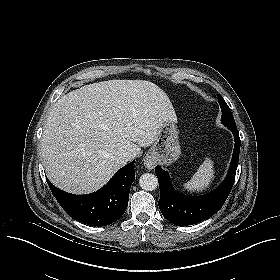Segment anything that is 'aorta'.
I'll return each instance as SVG.
<instances>
[{
	"instance_id": "aorta-1",
	"label": "aorta",
	"mask_w": 280,
	"mask_h": 280,
	"mask_svg": "<svg viewBox=\"0 0 280 280\" xmlns=\"http://www.w3.org/2000/svg\"><path fill=\"white\" fill-rule=\"evenodd\" d=\"M140 187L145 191H153L158 186V178L151 173H144L139 179Z\"/></svg>"
}]
</instances>
